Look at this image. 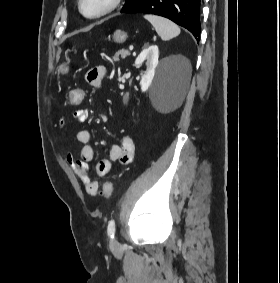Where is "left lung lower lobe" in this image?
Segmentation results:
<instances>
[{"label":"left lung lower lobe","instance_id":"0a47b994","mask_svg":"<svg viewBox=\"0 0 280 283\" xmlns=\"http://www.w3.org/2000/svg\"><path fill=\"white\" fill-rule=\"evenodd\" d=\"M122 13H152L189 30L199 41L200 0H137Z\"/></svg>","mask_w":280,"mask_h":283}]
</instances>
